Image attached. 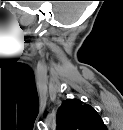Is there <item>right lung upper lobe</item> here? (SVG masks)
Here are the masks:
<instances>
[{"label": "right lung upper lobe", "mask_w": 123, "mask_h": 130, "mask_svg": "<svg viewBox=\"0 0 123 130\" xmlns=\"http://www.w3.org/2000/svg\"><path fill=\"white\" fill-rule=\"evenodd\" d=\"M57 126L72 130H97L104 124L93 107L78 99H67L58 110Z\"/></svg>", "instance_id": "1"}]
</instances>
